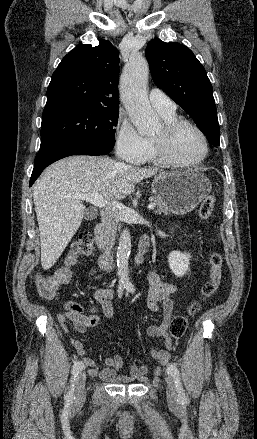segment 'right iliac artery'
I'll return each mask as SVG.
<instances>
[{"label": "right iliac artery", "instance_id": "obj_1", "mask_svg": "<svg viewBox=\"0 0 257 439\" xmlns=\"http://www.w3.org/2000/svg\"><path fill=\"white\" fill-rule=\"evenodd\" d=\"M124 288H125V287H124L123 285H120V286L118 287V293H119V296L122 294ZM83 368H84V364L82 363V361H77V362H75V364L73 365V368H72V380H71L72 385H71V389L68 391V393H67V395H66V400H67L68 402H70V401H72V400L74 399V388H73V387H74V384H73V382H74L76 376L79 374V372H80Z\"/></svg>", "mask_w": 257, "mask_h": 439}]
</instances>
